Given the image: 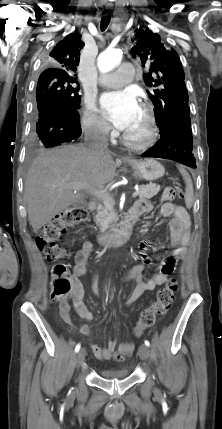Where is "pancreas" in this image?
<instances>
[{
    "label": "pancreas",
    "mask_w": 222,
    "mask_h": 429,
    "mask_svg": "<svg viewBox=\"0 0 222 429\" xmlns=\"http://www.w3.org/2000/svg\"><path fill=\"white\" fill-rule=\"evenodd\" d=\"M160 191V186L148 184L140 186L138 195L140 200H146L154 197ZM112 197L101 199L102 206L98 209L95 216L96 222L100 227L101 232H105L110 228V224L116 221V213L114 210L115 202Z\"/></svg>",
    "instance_id": "pancreas-1"
}]
</instances>
